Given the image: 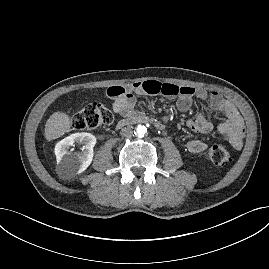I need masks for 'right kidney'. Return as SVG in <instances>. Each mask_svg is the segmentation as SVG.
<instances>
[{"instance_id": "obj_1", "label": "right kidney", "mask_w": 269, "mask_h": 269, "mask_svg": "<svg viewBox=\"0 0 269 269\" xmlns=\"http://www.w3.org/2000/svg\"><path fill=\"white\" fill-rule=\"evenodd\" d=\"M76 143L84 144L82 152L70 153L68 150ZM96 138L91 133H74L64 138L55 146V155L62 173L73 175L85 171L93 160V147Z\"/></svg>"}]
</instances>
